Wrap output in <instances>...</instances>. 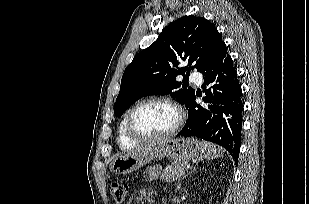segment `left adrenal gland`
<instances>
[{
    "mask_svg": "<svg viewBox=\"0 0 309 204\" xmlns=\"http://www.w3.org/2000/svg\"><path fill=\"white\" fill-rule=\"evenodd\" d=\"M193 171H195V168L193 169ZM193 171H192V172H193ZM192 172L188 173V175H190ZM180 186H181V183H180V181H179L178 184H177V187H176V189H175L176 192L180 189Z\"/></svg>",
    "mask_w": 309,
    "mask_h": 204,
    "instance_id": "left-adrenal-gland-1",
    "label": "left adrenal gland"
}]
</instances>
